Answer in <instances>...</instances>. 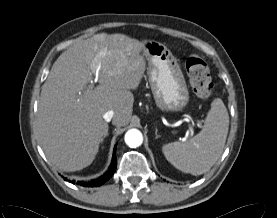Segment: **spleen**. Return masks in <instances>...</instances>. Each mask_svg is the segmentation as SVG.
Returning <instances> with one entry per match:
<instances>
[{
	"label": "spleen",
	"instance_id": "spleen-1",
	"mask_svg": "<svg viewBox=\"0 0 277 218\" xmlns=\"http://www.w3.org/2000/svg\"><path fill=\"white\" fill-rule=\"evenodd\" d=\"M229 129V115L220 98L211 103L203 129L193 138L163 145L165 158L178 170L201 175L221 156Z\"/></svg>",
	"mask_w": 277,
	"mask_h": 218
}]
</instances>
